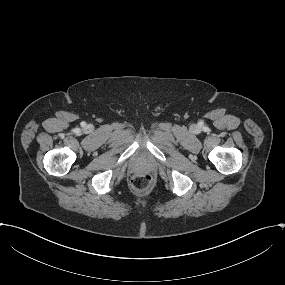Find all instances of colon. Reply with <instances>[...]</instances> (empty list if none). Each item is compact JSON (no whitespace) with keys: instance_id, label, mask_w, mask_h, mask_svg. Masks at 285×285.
Instances as JSON below:
<instances>
[{"instance_id":"colon-1","label":"colon","mask_w":285,"mask_h":285,"mask_svg":"<svg viewBox=\"0 0 285 285\" xmlns=\"http://www.w3.org/2000/svg\"><path fill=\"white\" fill-rule=\"evenodd\" d=\"M154 183L153 176L147 172L135 174L131 179V186L137 191H148Z\"/></svg>"}]
</instances>
